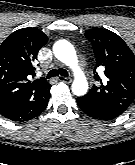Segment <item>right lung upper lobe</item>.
I'll use <instances>...</instances> for the list:
<instances>
[{"mask_svg":"<svg viewBox=\"0 0 135 165\" xmlns=\"http://www.w3.org/2000/svg\"><path fill=\"white\" fill-rule=\"evenodd\" d=\"M47 36L37 28H22L0 45V108L20 100H38L50 94L51 85L35 76L38 51Z\"/></svg>","mask_w":135,"mask_h":165,"instance_id":"cb5924a9","label":"right lung upper lobe"}]
</instances>
